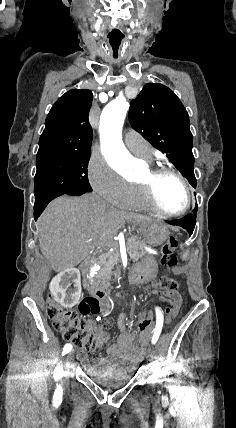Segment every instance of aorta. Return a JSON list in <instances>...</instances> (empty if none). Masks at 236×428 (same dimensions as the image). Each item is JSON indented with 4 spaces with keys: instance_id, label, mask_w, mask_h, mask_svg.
<instances>
[{
    "instance_id": "1",
    "label": "aorta",
    "mask_w": 236,
    "mask_h": 428,
    "mask_svg": "<svg viewBox=\"0 0 236 428\" xmlns=\"http://www.w3.org/2000/svg\"><path fill=\"white\" fill-rule=\"evenodd\" d=\"M129 103L125 97H117L105 106L100 116L101 151L107 162L124 173L127 178L136 176L135 159L122 140V128ZM99 266L94 265L89 274L90 281L97 275Z\"/></svg>"
}]
</instances>
